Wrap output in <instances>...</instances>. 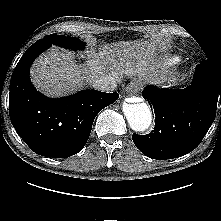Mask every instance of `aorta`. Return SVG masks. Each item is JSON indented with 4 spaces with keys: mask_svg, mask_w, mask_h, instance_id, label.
Wrapping results in <instances>:
<instances>
[{
    "mask_svg": "<svg viewBox=\"0 0 221 221\" xmlns=\"http://www.w3.org/2000/svg\"><path fill=\"white\" fill-rule=\"evenodd\" d=\"M123 113L129 126L136 132L147 130L152 123V115L149 106L142 103L123 104Z\"/></svg>",
    "mask_w": 221,
    "mask_h": 221,
    "instance_id": "obj_1",
    "label": "aorta"
}]
</instances>
